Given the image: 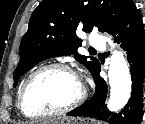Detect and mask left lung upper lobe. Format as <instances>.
Instances as JSON below:
<instances>
[{
  "label": "left lung upper lobe",
  "mask_w": 145,
  "mask_h": 124,
  "mask_svg": "<svg viewBox=\"0 0 145 124\" xmlns=\"http://www.w3.org/2000/svg\"><path fill=\"white\" fill-rule=\"evenodd\" d=\"M133 5L132 0L42 1L32 13L20 44L14 86L39 61L62 55L73 54L94 77L100 63L77 52L82 40L76 36V30L91 32L98 28L100 32L113 34Z\"/></svg>",
  "instance_id": "1"
}]
</instances>
